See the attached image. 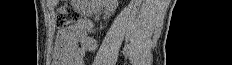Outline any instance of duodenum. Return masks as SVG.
<instances>
[{
	"label": "duodenum",
	"instance_id": "1",
	"mask_svg": "<svg viewBox=\"0 0 232 65\" xmlns=\"http://www.w3.org/2000/svg\"><path fill=\"white\" fill-rule=\"evenodd\" d=\"M77 5H78V8L81 10V12L84 15H88L89 14V5H88V2H86V1H79L77 3ZM85 22L87 23V26L89 27L90 23L87 20H85Z\"/></svg>",
	"mask_w": 232,
	"mask_h": 65
}]
</instances>
